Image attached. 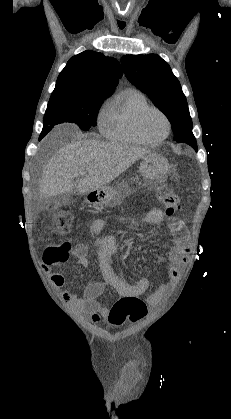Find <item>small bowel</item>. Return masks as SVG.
<instances>
[{
    "instance_id": "c3829d8e",
    "label": "small bowel",
    "mask_w": 231,
    "mask_h": 419,
    "mask_svg": "<svg viewBox=\"0 0 231 419\" xmlns=\"http://www.w3.org/2000/svg\"><path fill=\"white\" fill-rule=\"evenodd\" d=\"M163 218V212L155 208L146 214L142 222L150 226H156L163 221ZM103 223L101 219H93L91 221V231L95 235L96 253L103 279L89 283L84 288L82 296L75 294L71 290L63 291V302L80 312L90 314L95 321L100 316L107 318L110 309L102 305L98 301V297L102 294L106 286H111L121 297L143 296L147 308L155 307L171 288L172 283L177 280L179 270L187 260L190 240L184 223L176 217L171 219L170 230L173 235V244L170 247L168 257L170 265L167 270V281L149 293H146L150 286L147 278L142 277L136 282L130 283L120 277L113 269L111 258L117 247L116 239L113 236L100 235ZM88 252L89 248L84 243H79L74 247L73 257L77 265L82 267L89 265ZM50 268V265H46V269ZM50 281L57 288H64L66 286V279L60 273L50 274Z\"/></svg>"
}]
</instances>
